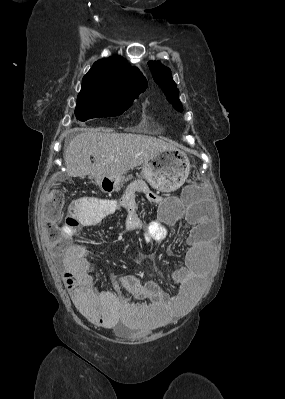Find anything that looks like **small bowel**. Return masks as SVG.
<instances>
[{
    "label": "small bowel",
    "mask_w": 285,
    "mask_h": 399,
    "mask_svg": "<svg viewBox=\"0 0 285 399\" xmlns=\"http://www.w3.org/2000/svg\"><path fill=\"white\" fill-rule=\"evenodd\" d=\"M138 192L145 193L148 200L157 204L162 211L175 212L178 219L194 218L198 213L197 207L189 208L171 200H161L136 182L128 186L119 200H101L95 197L73 200L68 206L63 229L71 235L79 236L83 228L96 226L107 216L122 211L127 229L143 230L146 242L166 240L169 233L161 221H143L138 215ZM202 235L203 232L198 229L188 236L183 263L166 277L168 284L177 287L178 293L175 295L165 293L152 281L139 282L128 274L114 277L112 291H98L88 269L90 249L79 241L70 242L63 248L64 284L76 309L99 326L113 328L120 322H126L143 330L162 327L185 316L202 289L207 265ZM88 301H94L96 306H88Z\"/></svg>",
    "instance_id": "obj_1"
}]
</instances>
